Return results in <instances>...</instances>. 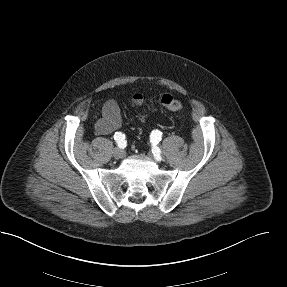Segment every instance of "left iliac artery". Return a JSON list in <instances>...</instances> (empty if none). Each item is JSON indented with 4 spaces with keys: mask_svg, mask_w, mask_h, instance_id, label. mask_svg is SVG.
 Listing matches in <instances>:
<instances>
[{
    "mask_svg": "<svg viewBox=\"0 0 287 287\" xmlns=\"http://www.w3.org/2000/svg\"><path fill=\"white\" fill-rule=\"evenodd\" d=\"M162 133L159 130H153L150 135L151 142L155 145L158 144L159 141H161Z\"/></svg>",
    "mask_w": 287,
    "mask_h": 287,
    "instance_id": "44dca946",
    "label": "left iliac artery"
}]
</instances>
